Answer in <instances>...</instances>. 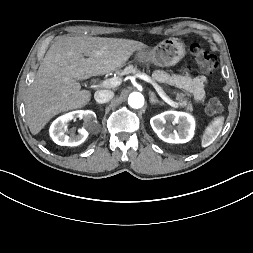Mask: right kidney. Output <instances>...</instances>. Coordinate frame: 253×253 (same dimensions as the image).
<instances>
[{
    "mask_svg": "<svg viewBox=\"0 0 253 253\" xmlns=\"http://www.w3.org/2000/svg\"><path fill=\"white\" fill-rule=\"evenodd\" d=\"M83 119V127L78 131V135L75 133L67 134L64 127L72 119ZM96 122V114L90 110H77L69 112L65 115L58 117L50 127V136L53 141L61 146H78L83 143L88 137V128L92 123Z\"/></svg>",
    "mask_w": 253,
    "mask_h": 253,
    "instance_id": "right-kidney-1",
    "label": "right kidney"
}]
</instances>
